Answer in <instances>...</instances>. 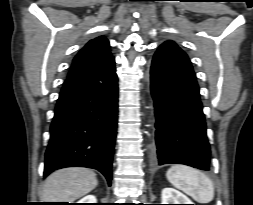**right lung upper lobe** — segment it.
Returning <instances> with one entry per match:
<instances>
[{"label":"right lung upper lobe","mask_w":253,"mask_h":205,"mask_svg":"<svg viewBox=\"0 0 253 205\" xmlns=\"http://www.w3.org/2000/svg\"><path fill=\"white\" fill-rule=\"evenodd\" d=\"M109 48V41L104 36L90 40L73 59L68 78L101 68L108 64L114 59Z\"/></svg>","instance_id":"right-lung-upper-lobe-1"}]
</instances>
